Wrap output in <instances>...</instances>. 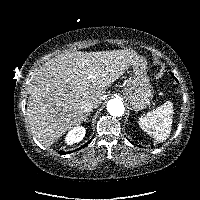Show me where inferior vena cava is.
<instances>
[{
    "label": "inferior vena cava",
    "instance_id": "obj_1",
    "mask_svg": "<svg viewBox=\"0 0 200 200\" xmlns=\"http://www.w3.org/2000/svg\"><path fill=\"white\" fill-rule=\"evenodd\" d=\"M94 107V102L92 100L87 99L82 103L81 110L82 112L86 113L92 111Z\"/></svg>",
    "mask_w": 200,
    "mask_h": 200
}]
</instances>
